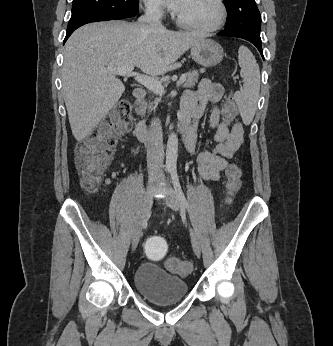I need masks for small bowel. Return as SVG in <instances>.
I'll use <instances>...</instances> for the list:
<instances>
[{"label": "small bowel", "mask_w": 333, "mask_h": 346, "mask_svg": "<svg viewBox=\"0 0 333 346\" xmlns=\"http://www.w3.org/2000/svg\"><path fill=\"white\" fill-rule=\"evenodd\" d=\"M223 87L202 79L196 90L184 92L182 97L180 118H187L190 135L184 138V146L188 153L194 152L197 142V124L204 116L208 105H211L209 126L215 130L213 141L215 146L210 151L200 152L197 156L198 172L205 180L217 181L227 167V159L231 158L243 143L244 129L241 122L231 127L222 120V110L217 103L223 96ZM137 150H133L136 154Z\"/></svg>", "instance_id": "small-bowel-1"}]
</instances>
